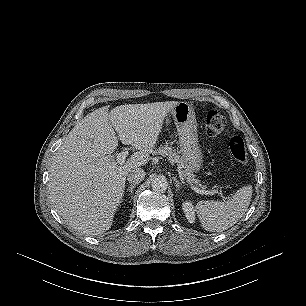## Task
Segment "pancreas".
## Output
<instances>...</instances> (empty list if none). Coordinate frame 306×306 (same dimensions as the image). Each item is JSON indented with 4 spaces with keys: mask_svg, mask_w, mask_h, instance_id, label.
<instances>
[{
    "mask_svg": "<svg viewBox=\"0 0 306 306\" xmlns=\"http://www.w3.org/2000/svg\"><path fill=\"white\" fill-rule=\"evenodd\" d=\"M153 154H158L163 157H167L171 162L177 163L178 167L182 170V175L188 180V182L200 186L199 180L195 179L193 172L190 170L189 166L185 163L184 159L179 155L176 150L168 145H161L157 150L153 151Z\"/></svg>",
    "mask_w": 306,
    "mask_h": 306,
    "instance_id": "obj_1",
    "label": "pancreas"
}]
</instances>
